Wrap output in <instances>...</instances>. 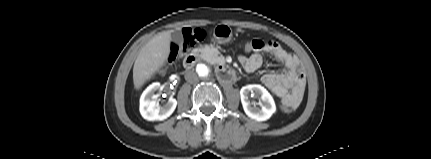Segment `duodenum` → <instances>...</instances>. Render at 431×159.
Instances as JSON below:
<instances>
[{
    "mask_svg": "<svg viewBox=\"0 0 431 159\" xmlns=\"http://www.w3.org/2000/svg\"><path fill=\"white\" fill-rule=\"evenodd\" d=\"M199 58V55L196 52H192L190 54H188L185 58H184V62L183 65L186 69H190L192 68L195 63L197 62ZM218 76L221 82L223 83H232L235 81L236 79V74L234 72L233 69H231L229 66L220 63L218 65Z\"/></svg>",
    "mask_w": 431,
    "mask_h": 159,
    "instance_id": "1",
    "label": "duodenum"
}]
</instances>
